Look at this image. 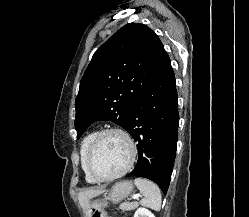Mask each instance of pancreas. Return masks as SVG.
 Listing matches in <instances>:
<instances>
[{
  "instance_id": "cf45deb5",
  "label": "pancreas",
  "mask_w": 249,
  "mask_h": 217,
  "mask_svg": "<svg viewBox=\"0 0 249 217\" xmlns=\"http://www.w3.org/2000/svg\"><path fill=\"white\" fill-rule=\"evenodd\" d=\"M138 202H124L120 205V209L123 211H131L138 207Z\"/></svg>"
}]
</instances>
